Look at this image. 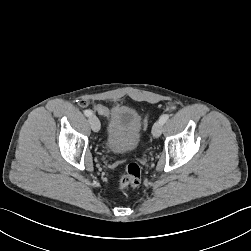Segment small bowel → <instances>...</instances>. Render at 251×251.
<instances>
[{"mask_svg":"<svg viewBox=\"0 0 251 251\" xmlns=\"http://www.w3.org/2000/svg\"><path fill=\"white\" fill-rule=\"evenodd\" d=\"M78 105L81 108H89L91 106V101L86 97H81L78 100Z\"/></svg>","mask_w":251,"mask_h":251,"instance_id":"obj_1","label":"small bowel"}]
</instances>
